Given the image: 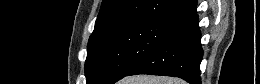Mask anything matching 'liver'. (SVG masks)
Returning a JSON list of instances; mask_svg holds the SVG:
<instances>
[{
	"mask_svg": "<svg viewBox=\"0 0 260 84\" xmlns=\"http://www.w3.org/2000/svg\"><path fill=\"white\" fill-rule=\"evenodd\" d=\"M124 84H182V81L169 77L139 75L128 77L123 81Z\"/></svg>",
	"mask_w": 260,
	"mask_h": 84,
	"instance_id": "1",
	"label": "liver"
}]
</instances>
